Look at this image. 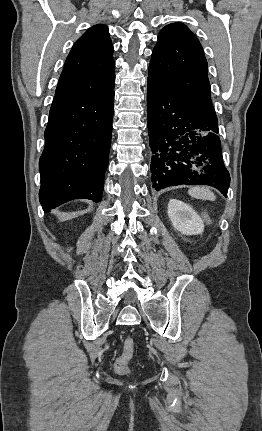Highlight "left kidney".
Returning a JSON list of instances; mask_svg holds the SVG:
<instances>
[{"instance_id": "left-kidney-1", "label": "left kidney", "mask_w": 262, "mask_h": 431, "mask_svg": "<svg viewBox=\"0 0 262 431\" xmlns=\"http://www.w3.org/2000/svg\"><path fill=\"white\" fill-rule=\"evenodd\" d=\"M168 216L173 227L186 235H197L204 231V223L188 204L172 199L168 204Z\"/></svg>"}]
</instances>
